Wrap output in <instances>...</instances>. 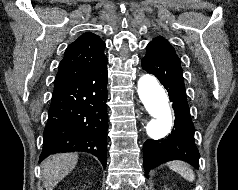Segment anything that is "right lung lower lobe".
<instances>
[{
    "instance_id": "98d812e1",
    "label": "right lung lower lobe",
    "mask_w": 238,
    "mask_h": 190,
    "mask_svg": "<svg viewBox=\"0 0 238 190\" xmlns=\"http://www.w3.org/2000/svg\"><path fill=\"white\" fill-rule=\"evenodd\" d=\"M106 66L107 61L92 72L54 89L40 161L53 153L85 151L98 157L106 167Z\"/></svg>"
}]
</instances>
